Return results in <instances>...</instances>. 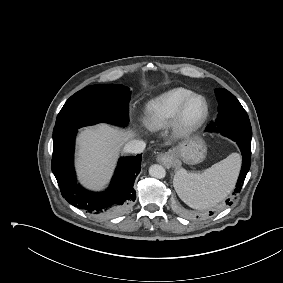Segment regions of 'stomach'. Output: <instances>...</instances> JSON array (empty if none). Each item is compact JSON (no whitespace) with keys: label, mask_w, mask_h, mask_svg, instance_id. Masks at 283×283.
Here are the masks:
<instances>
[{"label":"stomach","mask_w":283,"mask_h":283,"mask_svg":"<svg viewBox=\"0 0 283 283\" xmlns=\"http://www.w3.org/2000/svg\"><path fill=\"white\" fill-rule=\"evenodd\" d=\"M207 148L200 137H194L183 142L178 147L170 151L173 159H179L188 164L202 162L206 157Z\"/></svg>","instance_id":"stomach-1"}]
</instances>
